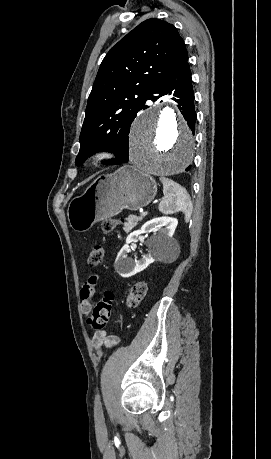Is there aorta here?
Wrapping results in <instances>:
<instances>
[{
	"mask_svg": "<svg viewBox=\"0 0 271 459\" xmlns=\"http://www.w3.org/2000/svg\"><path fill=\"white\" fill-rule=\"evenodd\" d=\"M193 154L191 131L171 107L145 112L132 128L130 161L143 174L164 177L182 172Z\"/></svg>",
	"mask_w": 271,
	"mask_h": 459,
	"instance_id": "obj_1",
	"label": "aorta"
}]
</instances>
